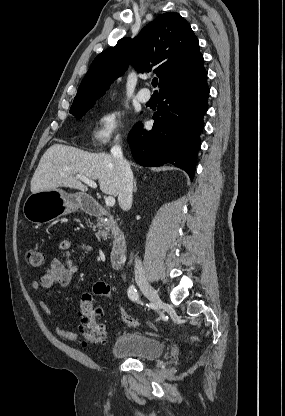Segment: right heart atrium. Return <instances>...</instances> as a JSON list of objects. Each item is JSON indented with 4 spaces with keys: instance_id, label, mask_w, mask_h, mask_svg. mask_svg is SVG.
<instances>
[{
    "instance_id": "d8ad5b80",
    "label": "right heart atrium",
    "mask_w": 285,
    "mask_h": 416,
    "mask_svg": "<svg viewBox=\"0 0 285 416\" xmlns=\"http://www.w3.org/2000/svg\"><path fill=\"white\" fill-rule=\"evenodd\" d=\"M123 127V114L115 108H106L95 115L92 141L95 146L102 148L113 139L120 136Z\"/></svg>"
}]
</instances>
